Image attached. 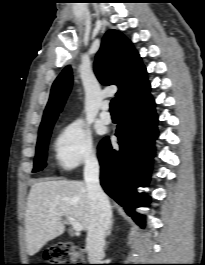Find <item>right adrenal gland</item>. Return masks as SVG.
Segmentation results:
<instances>
[{
	"label": "right adrenal gland",
	"instance_id": "2a0ac1e0",
	"mask_svg": "<svg viewBox=\"0 0 205 265\" xmlns=\"http://www.w3.org/2000/svg\"><path fill=\"white\" fill-rule=\"evenodd\" d=\"M112 225H113V220L111 221V223H110V225H109V228H108V230H107V232H106V236H110V234H111V230H112Z\"/></svg>",
	"mask_w": 205,
	"mask_h": 265
}]
</instances>
